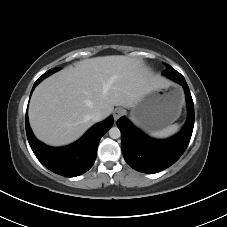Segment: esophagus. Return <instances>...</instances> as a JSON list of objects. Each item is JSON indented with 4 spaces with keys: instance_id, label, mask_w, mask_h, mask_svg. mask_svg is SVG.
Instances as JSON below:
<instances>
[{
    "instance_id": "1",
    "label": "esophagus",
    "mask_w": 227,
    "mask_h": 227,
    "mask_svg": "<svg viewBox=\"0 0 227 227\" xmlns=\"http://www.w3.org/2000/svg\"><path fill=\"white\" fill-rule=\"evenodd\" d=\"M124 112L125 111H124L123 108H116L114 113H113L115 121H117L121 116H123Z\"/></svg>"
}]
</instances>
